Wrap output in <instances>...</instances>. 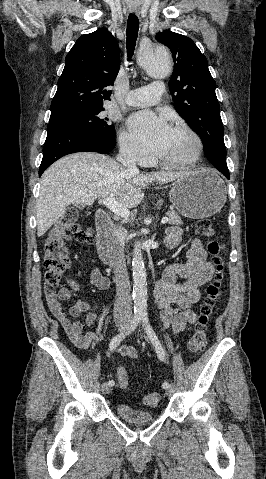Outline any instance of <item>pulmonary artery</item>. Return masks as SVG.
Masks as SVG:
<instances>
[{
	"mask_svg": "<svg viewBox=\"0 0 266 479\" xmlns=\"http://www.w3.org/2000/svg\"><path fill=\"white\" fill-rule=\"evenodd\" d=\"M164 92V84L155 81L151 84L129 91L124 99L128 106L146 107L158 103Z\"/></svg>",
	"mask_w": 266,
	"mask_h": 479,
	"instance_id": "pulmonary-artery-1",
	"label": "pulmonary artery"
}]
</instances>
